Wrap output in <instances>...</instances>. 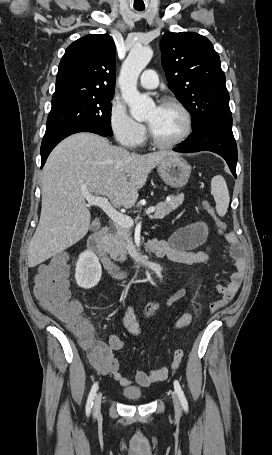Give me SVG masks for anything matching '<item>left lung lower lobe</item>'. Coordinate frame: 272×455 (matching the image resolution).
Instances as JSON below:
<instances>
[{
  "mask_svg": "<svg viewBox=\"0 0 272 455\" xmlns=\"http://www.w3.org/2000/svg\"><path fill=\"white\" fill-rule=\"evenodd\" d=\"M177 152L211 151L222 156L236 178L237 146L232 132V117L218 118L195 128Z\"/></svg>",
  "mask_w": 272,
  "mask_h": 455,
  "instance_id": "0a47b994",
  "label": "left lung lower lobe"
}]
</instances>
